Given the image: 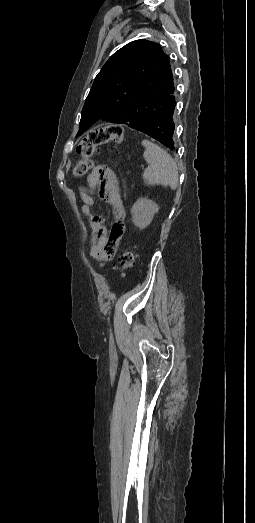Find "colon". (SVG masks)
<instances>
[{
  "mask_svg": "<svg viewBox=\"0 0 255 523\" xmlns=\"http://www.w3.org/2000/svg\"><path fill=\"white\" fill-rule=\"evenodd\" d=\"M122 140L123 129L116 125H109L88 132L77 146L80 159L73 168L74 176L80 178L89 172L93 167L92 157L99 146L112 144L116 147ZM118 260L120 263L119 271L124 275L125 270L135 265L137 253L134 250H126L120 254Z\"/></svg>",
  "mask_w": 255,
  "mask_h": 523,
  "instance_id": "obj_1",
  "label": "colon"
}]
</instances>
